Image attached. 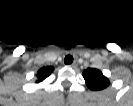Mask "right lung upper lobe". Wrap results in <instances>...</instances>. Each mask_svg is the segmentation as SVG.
Here are the masks:
<instances>
[{"label":"right lung upper lobe","instance_id":"obj_1","mask_svg":"<svg viewBox=\"0 0 133 106\" xmlns=\"http://www.w3.org/2000/svg\"><path fill=\"white\" fill-rule=\"evenodd\" d=\"M53 70L54 68L51 66L41 68L37 73V77H38L37 82L43 81L46 77H48L51 74Z\"/></svg>","mask_w":133,"mask_h":106}]
</instances>
